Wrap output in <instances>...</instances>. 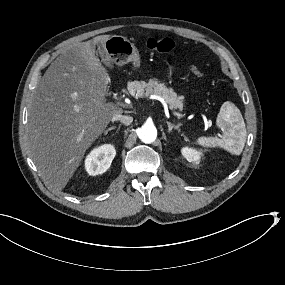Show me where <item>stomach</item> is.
Instances as JSON below:
<instances>
[{"label": "stomach", "instance_id": "stomach-1", "mask_svg": "<svg viewBox=\"0 0 285 285\" xmlns=\"http://www.w3.org/2000/svg\"><path fill=\"white\" fill-rule=\"evenodd\" d=\"M104 50L110 60L117 64L131 62L137 68L141 65V56L137 47L126 37L112 35L106 40Z\"/></svg>", "mask_w": 285, "mask_h": 285}]
</instances>
